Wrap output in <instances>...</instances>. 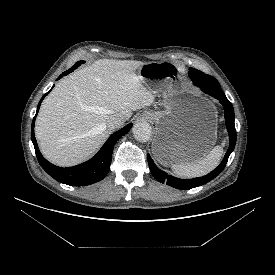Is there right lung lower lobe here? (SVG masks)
<instances>
[{"instance_id":"right-lung-lower-lobe-1","label":"right lung lower lobe","mask_w":275,"mask_h":275,"mask_svg":"<svg viewBox=\"0 0 275 275\" xmlns=\"http://www.w3.org/2000/svg\"><path fill=\"white\" fill-rule=\"evenodd\" d=\"M77 68V67H76ZM74 67L70 68L66 72L62 73L58 79L62 78L63 76L72 72ZM51 91V90H50ZM49 91V92H50ZM47 92L44 94L42 99L40 100L37 112L39 111V107L41 105L42 100L44 97L49 93ZM36 112V115H37ZM32 122L31 127V139L35 148L37 159L41 165V167L55 180L70 185V186H85L96 183L107 175L110 170V164L112 159V151L115 143L125 135L132 127V123L128 124L124 128L120 129L119 131L115 132L110 136V138L106 141V143L102 146V148L98 151V153L91 158L89 161L84 162L80 165L69 167V168H62L55 166L48 162L40 153L35 135H34V124L35 118Z\"/></svg>"}]
</instances>
